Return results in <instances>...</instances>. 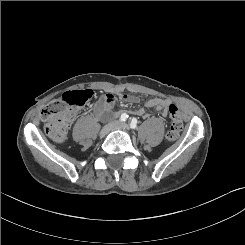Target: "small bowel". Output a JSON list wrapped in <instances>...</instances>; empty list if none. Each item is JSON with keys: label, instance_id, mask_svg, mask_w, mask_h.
I'll use <instances>...</instances> for the list:
<instances>
[{"label": "small bowel", "instance_id": "obj_1", "mask_svg": "<svg viewBox=\"0 0 245 245\" xmlns=\"http://www.w3.org/2000/svg\"><path fill=\"white\" fill-rule=\"evenodd\" d=\"M123 101L127 104H135L138 102V98L133 95H124ZM170 101L162 99L159 97L148 98L145 101V106L148 108L156 109L157 111L163 112L166 114V108L169 105ZM116 104V98L112 94H107L100 97L93 107V116L97 119L105 118L114 108ZM139 116L147 117V114L144 109H139L136 112Z\"/></svg>", "mask_w": 245, "mask_h": 245}]
</instances>
